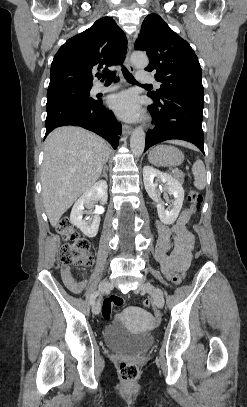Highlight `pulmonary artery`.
Listing matches in <instances>:
<instances>
[{
    "label": "pulmonary artery",
    "instance_id": "1",
    "mask_svg": "<svg viewBox=\"0 0 247 407\" xmlns=\"http://www.w3.org/2000/svg\"><path fill=\"white\" fill-rule=\"evenodd\" d=\"M137 81H139L140 83H154L155 85L159 86V83L156 82L155 78L150 73L145 72V71L137 72ZM116 88H117V85H111V86L105 87L104 85L98 83L94 86V91L95 92H106V91H111Z\"/></svg>",
    "mask_w": 247,
    "mask_h": 407
}]
</instances>
